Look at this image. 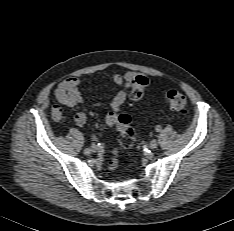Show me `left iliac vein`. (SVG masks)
<instances>
[{
	"label": "left iliac vein",
	"instance_id": "1",
	"mask_svg": "<svg viewBox=\"0 0 234 231\" xmlns=\"http://www.w3.org/2000/svg\"><path fill=\"white\" fill-rule=\"evenodd\" d=\"M157 146H158V143H157V141L155 139L150 141V143H149V148L150 149L154 150V149L157 148Z\"/></svg>",
	"mask_w": 234,
	"mask_h": 231
}]
</instances>
